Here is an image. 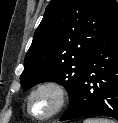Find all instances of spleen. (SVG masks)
<instances>
[{"instance_id":"1","label":"spleen","mask_w":118,"mask_h":123,"mask_svg":"<svg viewBox=\"0 0 118 123\" xmlns=\"http://www.w3.org/2000/svg\"><path fill=\"white\" fill-rule=\"evenodd\" d=\"M83 123H115V121L107 118H87Z\"/></svg>"}]
</instances>
